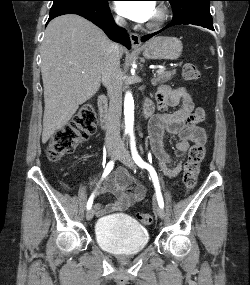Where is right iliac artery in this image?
Returning <instances> with one entry per match:
<instances>
[{"instance_id": "obj_1", "label": "right iliac artery", "mask_w": 250, "mask_h": 285, "mask_svg": "<svg viewBox=\"0 0 250 285\" xmlns=\"http://www.w3.org/2000/svg\"><path fill=\"white\" fill-rule=\"evenodd\" d=\"M113 167H114V161L112 160V161H110V162L107 164V166H106V168H105V170H104V172H103V175H102V179H101V180H103V179L111 172V170L113 169ZM93 199H94V193L90 196V198H89V200H88V202H87V209H88V210L92 207Z\"/></svg>"}]
</instances>
